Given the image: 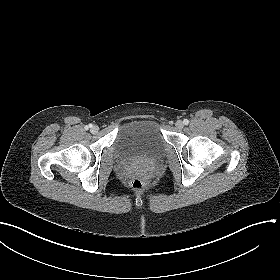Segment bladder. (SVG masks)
I'll return each instance as SVG.
<instances>
[{"label":"bladder","mask_w":280,"mask_h":280,"mask_svg":"<svg viewBox=\"0 0 280 280\" xmlns=\"http://www.w3.org/2000/svg\"><path fill=\"white\" fill-rule=\"evenodd\" d=\"M164 143L158 122L142 118L130 120L120 127L115 148L126 157H154L161 153Z\"/></svg>","instance_id":"obj_1"}]
</instances>
